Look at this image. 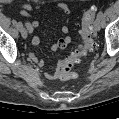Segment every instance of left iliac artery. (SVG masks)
Instances as JSON below:
<instances>
[{"mask_svg": "<svg viewBox=\"0 0 119 119\" xmlns=\"http://www.w3.org/2000/svg\"><path fill=\"white\" fill-rule=\"evenodd\" d=\"M102 17H103V12L99 11V13L97 14V18L102 19Z\"/></svg>", "mask_w": 119, "mask_h": 119, "instance_id": "obj_1", "label": "left iliac artery"}]
</instances>
